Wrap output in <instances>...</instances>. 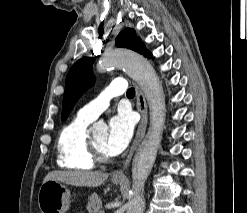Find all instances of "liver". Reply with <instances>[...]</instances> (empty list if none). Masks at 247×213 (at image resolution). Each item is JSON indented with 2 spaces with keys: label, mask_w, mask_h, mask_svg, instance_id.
I'll return each mask as SVG.
<instances>
[{
  "label": "liver",
  "mask_w": 247,
  "mask_h": 213,
  "mask_svg": "<svg viewBox=\"0 0 247 213\" xmlns=\"http://www.w3.org/2000/svg\"><path fill=\"white\" fill-rule=\"evenodd\" d=\"M108 178V173L88 171H52L43 182L54 180L73 186L98 187Z\"/></svg>",
  "instance_id": "obj_1"
}]
</instances>
